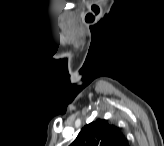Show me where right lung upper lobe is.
<instances>
[{"instance_id":"cb5924a9","label":"right lung upper lobe","mask_w":164,"mask_h":146,"mask_svg":"<svg viewBox=\"0 0 164 146\" xmlns=\"http://www.w3.org/2000/svg\"><path fill=\"white\" fill-rule=\"evenodd\" d=\"M71 146H128V142L117 127L98 119L83 127Z\"/></svg>"}]
</instances>
